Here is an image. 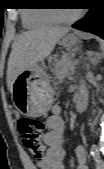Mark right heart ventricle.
<instances>
[{"instance_id":"obj_1","label":"right heart ventricle","mask_w":104,"mask_h":169,"mask_svg":"<svg viewBox=\"0 0 104 169\" xmlns=\"http://www.w3.org/2000/svg\"><path fill=\"white\" fill-rule=\"evenodd\" d=\"M23 24L28 28L52 25L56 21L46 10H29L22 13Z\"/></svg>"}]
</instances>
